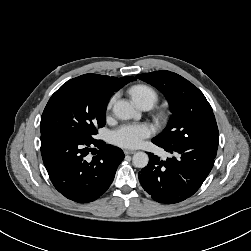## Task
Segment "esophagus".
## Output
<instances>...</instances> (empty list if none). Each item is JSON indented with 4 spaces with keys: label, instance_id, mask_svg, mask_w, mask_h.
I'll list each match as a JSON object with an SVG mask.
<instances>
[{
    "label": "esophagus",
    "instance_id": "esophagus-1",
    "mask_svg": "<svg viewBox=\"0 0 251 251\" xmlns=\"http://www.w3.org/2000/svg\"><path fill=\"white\" fill-rule=\"evenodd\" d=\"M136 151L135 150H124V153L126 155L134 154Z\"/></svg>",
    "mask_w": 251,
    "mask_h": 251
}]
</instances>
